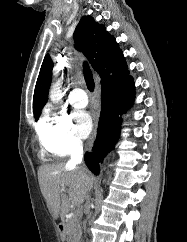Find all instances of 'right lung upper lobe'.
I'll list each match as a JSON object with an SVG mask.
<instances>
[{"mask_svg":"<svg viewBox=\"0 0 187 242\" xmlns=\"http://www.w3.org/2000/svg\"><path fill=\"white\" fill-rule=\"evenodd\" d=\"M76 49L88 58L93 69L101 78V86L114 82L128 74V68L122 51L115 38L105 26L94 21L91 16H83L74 32ZM53 62L47 54L37 79L34 98V116L40 112L48 100V91L52 79Z\"/></svg>","mask_w":187,"mask_h":242,"instance_id":"right-lung-upper-lobe-1","label":"right lung upper lobe"}]
</instances>
